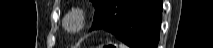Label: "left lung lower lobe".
Listing matches in <instances>:
<instances>
[{
	"label": "left lung lower lobe",
	"mask_w": 213,
	"mask_h": 48,
	"mask_svg": "<svg viewBox=\"0 0 213 48\" xmlns=\"http://www.w3.org/2000/svg\"><path fill=\"white\" fill-rule=\"evenodd\" d=\"M162 0H110L91 30L104 29L131 48H157Z\"/></svg>",
	"instance_id": "left-lung-lower-lobe-1"
}]
</instances>
